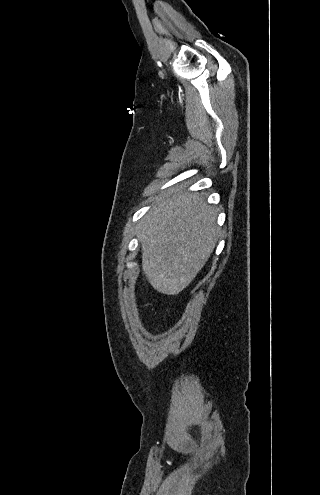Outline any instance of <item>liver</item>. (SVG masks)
Returning a JSON list of instances; mask_svg holds the SVG:
<instances>
[{
  "label": "liver",
  "instance_id": "1",
  "mask_svg": "<svg viewBox=\"0 0 320 495\" xmlns=\"http://www.w3.org/2000/svg\"><path fill=\"white\" fill-rule=\"evenodd\" d=\"M139 229L142 269L151 286L166 295H176L192 282L219 233L212 207L182 187L155 205Z\"/></svg>",
  "mask_w": 320,
  "mask_h": 495
}]
</instances>
